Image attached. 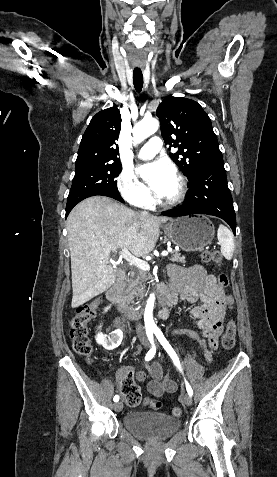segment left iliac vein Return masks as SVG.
<instances>
[{
    "instance_id": "4c4485c4",
    "label": "left iliac vein",
    "mask_w": 277,
    "mask_h": 477,
    "mask_svg": "<svg viewBox=\"0 0 277 477\" xmlns=\"http://www.w3.org/2000/svg\"><path fill=\"white\" fill-rule=\"evenodd\" d=\"M182 402L187 405V406H190L192 404V397L189 395V394H183L182 395Z\"/></svg>"
}]
</instances>
